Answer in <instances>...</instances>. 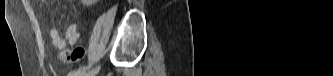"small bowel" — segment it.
Wrapping results in <instances>:
<instances>
[{"instance_id":"obj_1","label":"small bowel","mask_w":333,"mask_h":76,"mask_svg":"<svg viewBox=\"0 0 333 76\" xmlns=\"http://www.w3.org/2000/svg\"><path fill=\"white\" fill-rule=\"evenodd\" d=\"M80 37V32L78 31V25L76 23H71L65 30V35L61 36L56 28H51L50 38L52 44L62 50L67 46L74 45Z\"/></svg>"}]
</instances>
